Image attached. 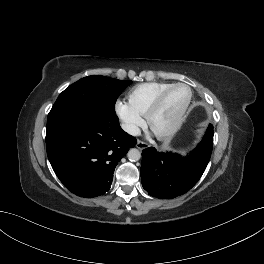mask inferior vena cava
Instances as JSON below:
<instances>
[{
  "mask_svg": "<svg viewBox=\"0 0 264 264\" xmlns=\"http://www.w3.org/2000/svg\"><path fill=\"white\" fill-rule=\"evenodd\" d=\"M121 127L125 132L132 136H138L141 133L140 128L131 123H122Z\"/></svg>",
  "mask_w": 264,
  "mask_h": 264,
  "instance_id": "inferior-vena-cava-1",
  "label": "inferior vena cava"
}]
</instances>
